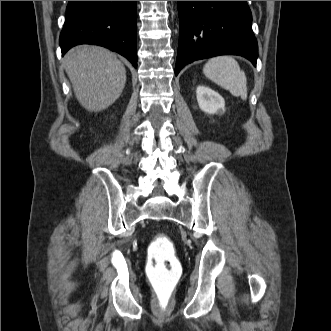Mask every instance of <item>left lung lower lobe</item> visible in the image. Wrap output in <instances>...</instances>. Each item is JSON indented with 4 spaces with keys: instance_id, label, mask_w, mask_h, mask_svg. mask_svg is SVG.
I'll use <instances>...</instances> for the list:
<instances>
[{
    "instance_id": "1",
    "label": "left lung lower lobe",
    "mask_w": 331,
    "mask_h": 331,
    "mask_svg": "<svg viewBox=\"0 0 331 331\" xmlns=\"http://www.w3.org/2000/svg\"><path fill=\"white\" fill-rule=\"evenodd\" d=\"M179 46L175 75L187 64L217 55H240L254 66L258 45L246 1H178Z\"/></svg>"
}]
</instances>
